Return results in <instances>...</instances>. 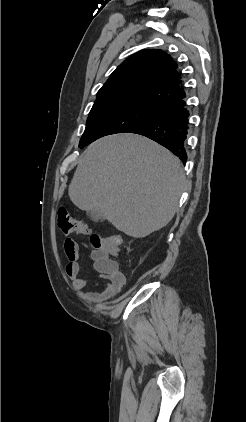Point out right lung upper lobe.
Instances as JSON below:
<instances>
[{"instance_id": "right-lung-upper-lobe-1", "label": "right lung upper lobe", "mask_w": 246, "mask_h": 422, "mask_svg": "<svg viewBox=\"0 0 246 422\" xmlns=\"http://www.w3.org/2000/svg\"><path fill=\"white\" fill-rule=\"evenodd\" d=\"M177 64L159 49L141 50L120 64L97 93L94 106L162 105L185 95ZM93 106V107H94Z\"/></svg>"}]
</instances>
